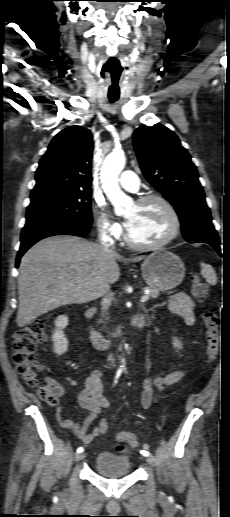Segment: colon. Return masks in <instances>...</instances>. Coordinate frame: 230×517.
<instances>
[{
    "label": "colon",
    "mask_w": 230,
    "mask_h": 517,
    "mask_svg": "<svg viewBox=\"0 0 230 517\" xmlns=\"http://www.w3.org/2000/svg\"><path fill=\"white\" fill-rule=\"evenodd\" d=\"M193 295L200 301L205 302L209 297L207 285L200 279L195 278L191 284ZM206 337V357L209 363L215 361L219 352L220 344V319L216 311L206 309L203 313ZM46 339L45 324L42 320H33L26 327L19 329L12 344V362L18 373L26 383L36 388L40 398L48 405L54 406L63 395L61 385L53 379H47L43 383L39 380V372L42 365L36 357V348ZM117 450L124 448V443L138 445V437L126 432L123 437L117 440Z\"/></svg>",
    "instance_id": "obj_1"
}]
</instances>
